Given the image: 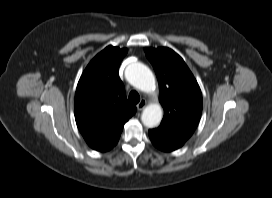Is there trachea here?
<instances>
[{"label": "trachea", "instance_id": "3493384b", "mask_svg": "<svg viewBox=\"0 0 272 198\" xmlns=\"http://www.w3.org/2000/svg\"><path fill=\"white\" fill-rule=\"evenodd\" d=\"M129 101L133 104H137L140 101V96L138 94V92L136 91H131L129 93Z\"/></svg>", "mask_w": 272, "mask_h": 198}]
</instances>
